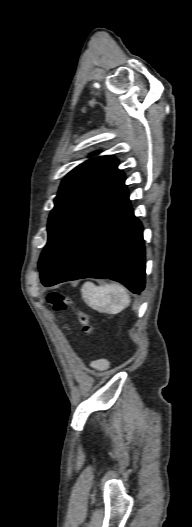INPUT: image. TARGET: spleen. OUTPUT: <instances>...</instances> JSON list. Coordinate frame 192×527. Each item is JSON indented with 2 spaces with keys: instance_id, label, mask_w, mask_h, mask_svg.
<instances>
[{
  "instance_id": "spleen-1",
  "label": "spleen",
  "mask_w": 192,
  "mask_h": 527,
  "mask_svg": "<svg viewBox=\"0 0 192 527\" xmlns=\"http://www.w3.org/2000/svg\"><path fill=\"white\" fill-rule=\"evenodd\" d=\"M81 292L84 301L99 312L119 313L131 301L127 290L118 284L96 286L92 282H86L82 286Z\"/></svg>"
}]
</instances>
